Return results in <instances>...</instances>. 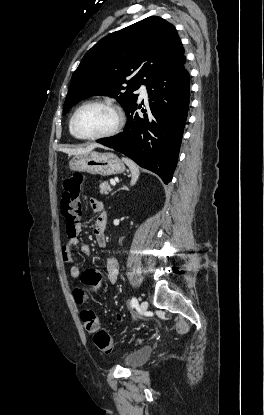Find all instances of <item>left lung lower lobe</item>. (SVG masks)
Returning <instances> with one entry per match:
<instances>
[{
	"label": "left lung lower lobe",
	"mask_w": 264,
	"mask_h": 415,
	"mask_svg": "<svg viewBox=\"0 0 264 415\" xmlns=\"http://www.w3.org/2000/svg\"><path fill=\"white\" fill-rule=\"evenodd\" d=\"M185 64L183 56L146 85L149 109L139 115L135 102L125 110L122 133L97 141L155 172L165 184L172 180L187 119L190 79Z\"/></svg>",
	"instance_id": "obj_1"
}]
</instances>
